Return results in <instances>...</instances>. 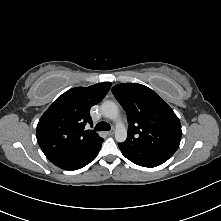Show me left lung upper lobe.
<instances>
[{"instance_id": "left-lung-upper-lobe-1", "label": "left lung upper lobe", "mask_w": 221, "mask_h": 221, "mask_svg": "<svg viewBox=\"0 0 221 221\" xmlns=\"http://www.w3.org/2000/svg\"><path fill=\"white\" fill-rule=\"evenodd\" d=\"M112 93L128 116L130 145L174 154L181 140V125L170 106L150 88L137 84H118Z\"/></svg>"}]
</instances>
